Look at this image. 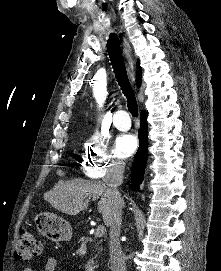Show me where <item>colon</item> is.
<instances>
[{
	"mask_svg": "<svg viewBox=\"0 0 221 271\" xmlns=\"http://www.w3.org/2000/svg\"><path fill=\"white\" fill-rule=\"evenodd\" d=\"M42 253V243L29 229H23L16 242L14 257L18 262H27L38 258Z\"/></svg>",
	"mask_w": 221,
	"mask_h": 271,
	"instance_id": "obj_1",
	"label": "colon"
}]
</instances>
